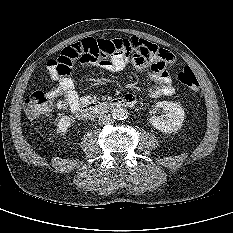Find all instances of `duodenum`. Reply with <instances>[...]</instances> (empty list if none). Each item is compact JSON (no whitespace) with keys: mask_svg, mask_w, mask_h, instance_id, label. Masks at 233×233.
I'll return each mask as SVG.
<instances>
[{"mask_svg":"<svg viewBox=\"0 0 233 233\" xmlns=\"http://www.w3.org/2000/svg\"><path fill=\"white\" fill-rule=\"evenodd\" d=\"M136 104L134 97H120L107 102H90L80 110V115L85 119L108 113L118 108L133 107Z\"/></svg>","mask_w":233,"mask_h":233,"instance_id":"obj_1","label":"duodenum"}]
</instances>
